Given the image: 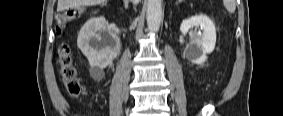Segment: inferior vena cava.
<instances>
[{"instance_id": "inferior-vena-cava-1", "label": "inferior vena cava", "mask_w": 283, "mask_h": 116, "mask_svg": "<svg viewBox=\"0 0 283 116\" xmlns=\"http://www.w3.org/2000/svg\"><path fill=\"white\" fill-rule=\"evenodd\" d=\"M133 4L137 5L139 3V0H131Z\"/></svg>"}]
</instances>
